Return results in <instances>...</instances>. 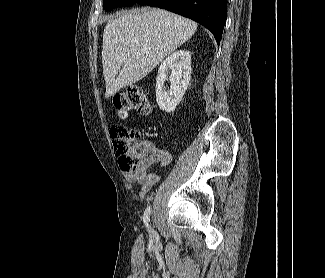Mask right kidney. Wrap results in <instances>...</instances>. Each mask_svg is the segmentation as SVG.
<instances>
[{"label":"right kidney","instance_id":"1","mask_svg":"<svg viewBox=\"0 0 325 278\" xmlns=\"http://www.w3.org/2000/svg\"><path fill=\"white\" fill-rule=\"evenodd\" d=\"M171 75L168 77V72ZM191 77V53L187 50L175 51L160 65L156 78V101L159 108L167 113L175 110L189 86ZM169 80L168 91L164 90V82Z\"/></svg>","mask_w":325,"mask_h":278}]
</instances>
